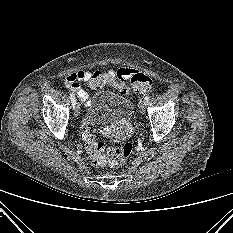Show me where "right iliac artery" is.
Wrapping results in <instances>:
<instances>
[{"label":"right iliac artery","mask_w":233,"mask_h":233,"mask_svg":"<svg viewBox=\"0 0 233 233\" xmlns=\"http://www.w3.org/2000/svg\"><path fill=\"white\" fill-rule=\"evenodd\" d=\"M70 99L72 101V105L74 106L75 105V102H76V99H75V96L73 93H70Z\"/></svg>","instance_id":"obj_1"}]
</instances>
